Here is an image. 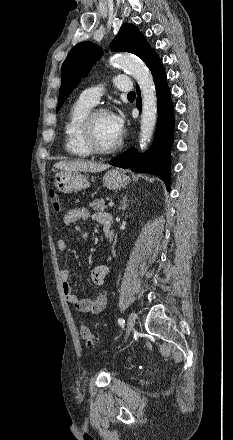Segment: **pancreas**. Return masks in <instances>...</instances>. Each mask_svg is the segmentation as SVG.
Wrapping results in <instances>:
<instances>
[{"label":"pancreas","instance_id":"pancreas-1","mask_svg":"<svg viewBox=\"0 0 233 440\" xmlns=\"http://www.w3.org/2000/svg\"><path fill=\"white\" fill-rule=\"evenodd\" d=\"M94 211H104L106 209L105 201L103 199H98L95 202L89 204Z\"/></svg>","mask_w":233,"mask_h":440}]
</instances>
